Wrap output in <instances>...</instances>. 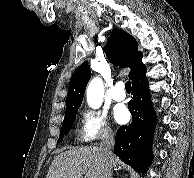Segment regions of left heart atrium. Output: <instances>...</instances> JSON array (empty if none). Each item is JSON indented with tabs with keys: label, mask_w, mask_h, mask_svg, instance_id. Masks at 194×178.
Listing matches in <instances>:
<instances>
[{
	"label": "left heart atrium",
	"mask_w": 194,
	"mask_h": 178,
	"mask_svg": "<svg viewBox=\"0 0 194 178\" xmlns=\"http://www.w3.org/2000/svg\"><path fill=\"white\" fill-rule=\"evenodd\" d=\"M114 118L116 122L123 124L126 123L129 119V113L126 108L124 107H117L114 110Z\"/></svg>",
	"instance_id": "39dd6f15"
}]
</instances>
